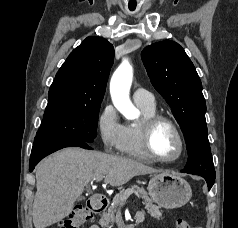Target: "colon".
<instances>
[{
	"label": "colon",
	"mask_w": 238,
	"mask_h": 228,
	"mask_svg": "<svg viewBox=\"0 0 238 228\" xmlns=\"http://www.w3.org/2000/svg\"><path fill=\"white\" fill-rule=\"evenodd\" d=\"M91 216V212L83 207L76 206L73 208L70 216L62 221L59 228H80ZM176 228H200L192 225L188 220L179 218Z\"/></svg>",
	"instance_id": "colon-1"
}]
</instances>
